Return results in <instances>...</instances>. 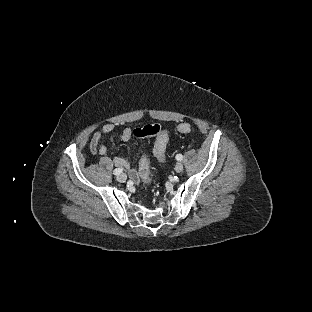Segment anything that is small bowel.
I'll list each match as a JSON object with an SVG mask.
<instances>
[{
    "label": "small bowel",
    "instance_id": "1",
    "mask_svg": "<svg viewBox=\"0 0 312 312\" xmlns=\"http://www.w3.org/2000/svg\"><path fill=\"white\" fill-rule=\"evenodd\" d=\"M115 129V124L114 123H106L102 126V128L96 132H94L90 138L89 141V148L91 150L92 153L94 154H99L100 156H107L108 150L107 147L103 144L100 143L101 138L104 135L110 134L111 132H113V130ZM168 129H162L159 131V133H161L162 131H165ZM140 130L139 129H135L133 130L130 127H125L122 132L120 133V139L124 142L129 141L135 134L139 135ZM112 161L114 162V164L118 167H122L124 168L131 180L134 183H138L139 182V175L138 172L131 166V163L129 160L122 158L120 156H113L112 157Z\"/></svg>",
    "mask_w": 312,
    "mask_h": 312
}]
</instances>
